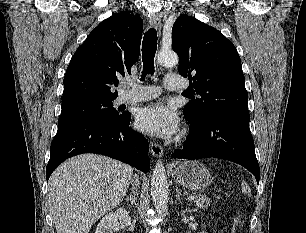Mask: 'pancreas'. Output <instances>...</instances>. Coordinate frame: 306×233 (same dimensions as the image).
Wrapping results in <instances>:
<instances>
[{"instance_id": "pancreas-1", "label": "pancreas", "mask_w": 306, "mask_h": 233, "mask_svg": "<svg viewBox=\"0 0 306 233\" xmlns=\"http://www.w3.org/2000/svg\"><path fill=\"white\" fill-rule=\"evenodd\" d=\"M199 208H208L210 205V199L206 196H195V199L193 201Z\"/></svg>"}]
</instances>
